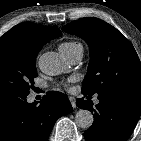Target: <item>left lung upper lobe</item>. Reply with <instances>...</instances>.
<instances>
[{
    "label": "left lung upper lobe",
    "instance_id": "1",
    "mask_svg": "<svg viewBox=\"0 0 141 141\" xmlns=\"http://www.w3.org/2000/svg\"><path fill=\"white\" fill-rule=\"evenodd\" d=\"M62 29L84 39L90 48V63L82 92L141 94L139 57L130 41L116 28L89 17L73 21Z\"/></svg>",
    "mask_w": 141,
    "mask_h": 141
}]
</instances>
